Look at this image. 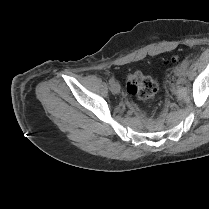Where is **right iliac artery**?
<instances>
[{
	"mask_svg": "<svg viewBox=\"0 0 209 209\" xmlns=\"http://www.w3.org/2000/svg\"><path fill=\"white\" fill-rule=\"evenodd\" d=\"M114 82H115V79H114L113 77L109 79V83H110V84H112V83H114Z\"/></svg>",
	"mask_w": 209,
	"mask_h": 209,
	"instance_id": "82829eb1",
	"label": "right iliac artery"
}]
</instances>
